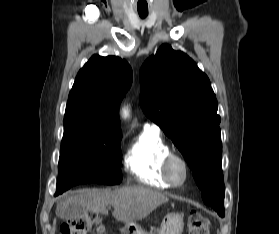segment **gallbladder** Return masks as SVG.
I'll return each mask as SVG.
<instances>
[{
    "label": "gallbladder",
    "mask_w": 279,
    "mask_h": 234,
    "mask_svg": "<svg viewBox=\"0 0 279 234\" xmlns=\"http://www.w3.org/2000/svg\"><path fill=\"white\" fill-rule=\"evenodd\" d=\"M86 213V210L81 205H70L65 211L61 214L63 219H71L83 216Z\"/></svg>",
    "instance_id": "obj_1"
}]
</instances>
